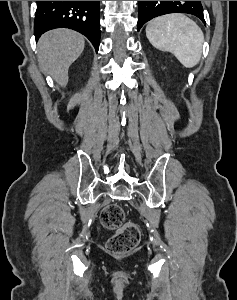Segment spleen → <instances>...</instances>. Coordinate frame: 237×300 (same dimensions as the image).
I'll return each mask as SVG.
<instances>
[{
    "mask_svg": "<svg viewBox=\"0 0 237 300\" xmlns=\"http://www.w3.org/2000/svg\"><path fill=\"white\" fill-rule=\"evenodd\" d=\"M146 37L159 51L173 53L179 63L187 69L198 65L204 43V35L189 17L172 13L149 21Z\"/></svg>",
    "mask_w": 237,
    "mask_h": 300,
    "instance_id": "spleen-1",
    "label": "spleen"
}]
</instances>
